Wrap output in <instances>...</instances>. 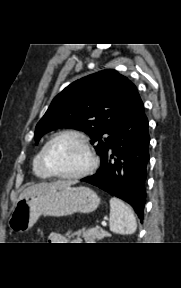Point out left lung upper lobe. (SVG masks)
<instances>
[{
	"mask_svg": "<svg viewBox=\"0 0 181 288\" xmlns=\"http://www.w3.org/2000/svg\"><path fill=\"white\" fill-rule=\"evenodd\" d=\"M136 86L115 70L81 78L59 93L38 122L36 144L47 132L71 128L85 132L102 158L109 150L137 96Z\"/></svg>",
	"mask_w": 181,
	"mask_h": 288,
	"instance_id": "left-lung-upper-lobe-1",
	"label": "left lung upper lobe"
}]
</instances>
